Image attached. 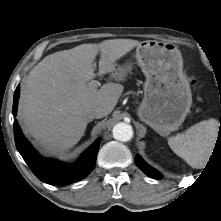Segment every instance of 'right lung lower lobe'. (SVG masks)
I'll return each instance as SVG.
<instances>
[{
    "label": "right lung lower lobe",
    "instance_id": "obj_1",
    "mask_svg": "<svg viewBox=\"0 0 221 221\" xmlns=\"http://www.w3.org/2000/svg\"><path fill=\"white\" fill-rule=\"evenodd\" d=\"M19 98L17 86L13 98L12 113L15 116ZM16 148L31 171L43 182L51 185H67L86 177L95 167L100 139L96 140L74 164L42 158L26 141L17 121H14Z\"/></svg>",
    "mask_w": 221,
    "mask_h": 221
}]
</instances>
